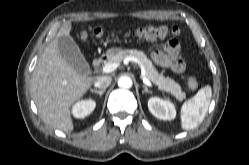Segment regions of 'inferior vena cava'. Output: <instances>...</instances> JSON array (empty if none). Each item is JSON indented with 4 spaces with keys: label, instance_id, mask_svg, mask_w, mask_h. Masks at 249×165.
<instances>
[{
    "label": "inferior vena cava",
    "instance_id": "602c4592",
    "mask_svg": "<svg viewBox=\"0 0 249 165\" xmlns=\"http://www.w3.org/2000/svg\"><path fill=\"white\" fill-rule=\"evenodd\" d=\"M112 82L111 76H100L97 77L94 86L99 89H106Z\"/></svg>",
    "mask_w": 249,
    "mask_h": 165
}]
</instances>
